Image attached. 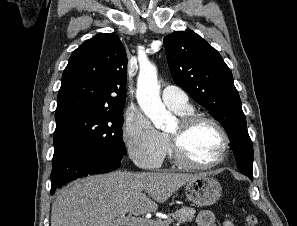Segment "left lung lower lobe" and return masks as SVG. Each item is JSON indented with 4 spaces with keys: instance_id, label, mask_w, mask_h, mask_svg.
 Masks as SVG:
<instances>
[{
    "instance_id": "left-lung-lower-lobe-1",
    "label": "left lung lower lobe",
    "mask_w": 297,
    "mask_h": 226,
    "mask_svg": "<svg viewBox=\"0 0 297 226\" xmlns=\"http://www.w3.org/2000/svg\"><path fill=\"white\" fill-rule=\"evenodd\" d=\"M244 175H248L249 176V178L252 180L253 178H252V174H248V173H243Z\"/></svg>"
}]
</instances>
